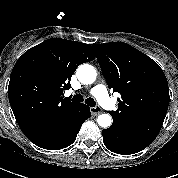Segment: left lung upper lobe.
Returning <instances> with one entry per match:
<instances>
[{"mask_svg":"<svg viewBox=\"0 0 178 178\" xmlns=\"http://www.w3.org/2000/svg\"><path fill=\"white\" fill-rule=\"evenodd\" d=\"M109 89L118 92V109L109 111L116 123L154 140L167 113L168 82L150 57L123 42L92 44Z\"/></svg>","mask_w":178,"mask_h":178,"instance_id":"5c2ea615","label":"left lung upper lobe"}]
</instances>
